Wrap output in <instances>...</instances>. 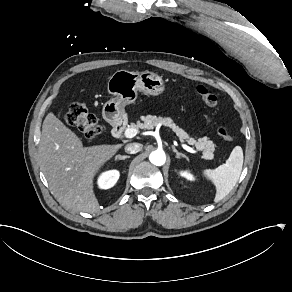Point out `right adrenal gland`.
<instances>
[{"instance_id":"2a0ac1e0","label":"right adrenal gland","mask_w":292,"mask_h":292,"mask_svg":"<svg viewBox=\"0 0 292 292\" xmlns=\"http://www.w3.org/2000/svg\"><path fill=\"white\" fill-rule=\"evenodd\" d=\"M127 158H130V156H127V155H124V156H121V155H117L116 156V159H119V160H125Z\"/></svg>"}]
</instances>
